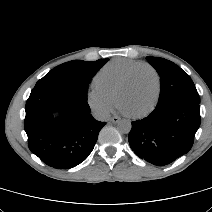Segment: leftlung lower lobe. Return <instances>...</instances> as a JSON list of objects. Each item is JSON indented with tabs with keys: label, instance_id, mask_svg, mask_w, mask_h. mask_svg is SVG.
<instances>
[{
	"label": "left lung lower lobe",
	"instance_id": "obj_1",
	"mask_svg": "<svg viewBox=\"0 0 212 212\" xmlns=\"http://www.w3.org/2000/svg\"><path fill=\"white\" fill-rule=\"evenodd\" d=\"M200 122L199 103L173 99L157 104L148 117L132 122L129 144L141 159L164 166L191 149Z\"/></svg>",
	"mask_w": 212,
	"mask_h": 212
}]
</instances>
